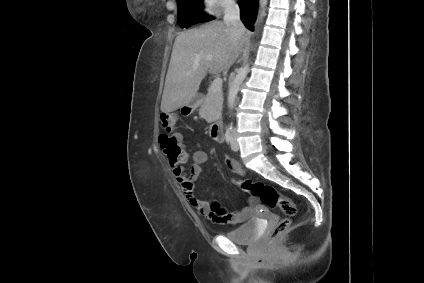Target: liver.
Instances as JSON below:
<instances>
[{"label":"liver","mask_w":424,"mask_h":283,"mask_svg":"<svg viewBox=\"0 0 424 283\" xmlns=\"http://www.w3.org/2000/svg\"><path fill=\"white\" fill-rule=\"evenodd\" d=\"M244 35L245 28L235 43L221 21L179 33L166 75L161 111L167 114L195 100L207 72L227 71L242 51Z\"/></svg>","instance_id":"6515ba94"}]
</instances>
